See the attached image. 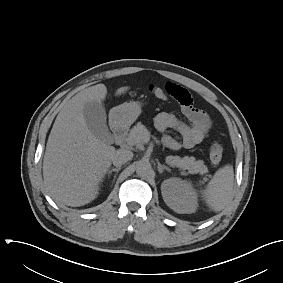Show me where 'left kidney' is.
Here are the masks:
<instances>
[{
	"instance_id": "5707ae66",
	"label": "left kidney",
	"mask_w": 283,
	"mask_h": 283,
	"mask_svg": "<svg viewBox=\"0 0 283 283\" xmlns=\"http://www.w3.org/2000/svg\"><path fill=\"white\" fill-rule=\"evenodd\" d=\"M161 193L165 203L179 214H190L197 210L198 203L190 182L179 178L163 181Z\"/></svg>"
}]
</instances>
